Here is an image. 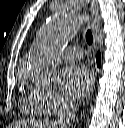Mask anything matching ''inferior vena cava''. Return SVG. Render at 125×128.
I'll list each match as a JSON object with an SVG mask.
<instances>
[{
  "mask_svg": "<svg viewBox=\"0 0 125 128\" xmlns=\"http://www.w3.org/2000/svg\"><path fill=\"white\" fill-rule=\"evenodd\" d=\"M63 108L64 113L59 121L60 125H65L66 122L75 117L76 106L72 102H66Z\"/></svg>",
  "mask_w": 125,
  "mask_h": 128,
  "instance_id": "602c4592",
  "label": "inferior vena cava"
}]
</instances>
